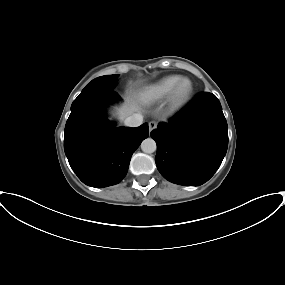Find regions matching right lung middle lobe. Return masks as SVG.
<instances>
[{
    "label": "right lung middle lobe",
    "mask_w": 285,
    "mask_h": 285,
    "mask_svg": "<svg viewBox=\"0 0 285 285\" xmlns=\"http://www.w3.org/2000/svg\"><path fill=\"white\" fill-rule=\"evenodd\" d=\"M117 77V74L105 75L92 80L86 85L80 95L74 100L71 107L75 106L81 100L90 95L113 90L116 85Z\"/></svg>",
    "instance_id": "right-lung-middle-lobe-1"
}]
</instances>
